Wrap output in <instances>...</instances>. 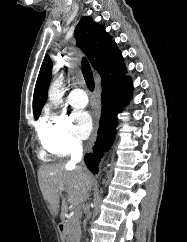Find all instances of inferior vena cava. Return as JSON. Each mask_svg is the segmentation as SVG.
<instances>
[{
    "instance_id": "602c4592",
    "label": "inferior vena cava",
    "mask_w": 187,
    "mask_h": 242,
    "mask_svg": "<svg viewBox=\"0 0 187 242\" xmlns=\"http://www.w3.org/2000/svg\"><path fill=\"white\" fill-rule=\"evenodd\" d=\"M82 143L80 141H74L71 148V160L69 165L74 166L76 163L80 162L82 159Z\"/></svg>"
}]
</instances>
